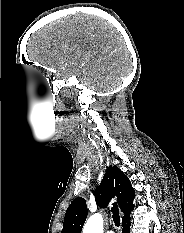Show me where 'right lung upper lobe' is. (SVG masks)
<instances>
[{"mask_svg":"<svg viewBox=\"0 0 184 233\" xmlns=\"http://www.w3.org/2000/svg\"><path fill=\"white\" fill-rule=\"evenodd\" d=\"M114 196L124 213L123 222L130 218L131 211L134 208L135 191L128 177L118 167L110 166L95 190V199L100 207L105 208ZM86 217L87 205L85 199L82 197L75 198L66 211L61 233H81Z\"/></svg>","mask_w":184,"mask_h":233,"instance_id":"cb5924a9","label":"right lung upper lobe"}]
</instances>
